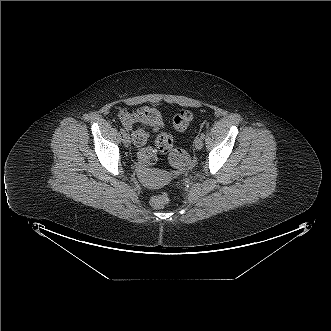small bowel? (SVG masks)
Here are the masks:
<instances>
[{"instance_id":"c3829d8e","label":"small bowel","mask_w":331,"mask_h":331,"mask_svg":"<svg viewBox=\"0 0 331 331\" xmlns=\"http://www.w3.org/2000/svg\"><path fill=\"white\" fill-rule=\"evenodd\" d=\"M149 107H140L134 112H130L127 109H121L118 112V118L120 119L123 127L130 131L132 134L133 142L137 147H140L139 159L143 165H148L154 162L155 155L151 147L147 146L148 135L141 133V129H135L136 124H143L142 114Z\"/></svg>"}]
</instances>
